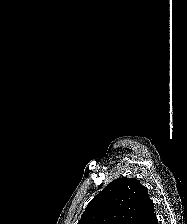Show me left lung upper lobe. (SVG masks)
<instances>
[{
  "label": "left lung upper lobe",
  "instance_id": "left-lung-upper-lobe-1",
  "mask_svg": "<svg viewBox=\"0 0 187 224\" xmlns=\"http://www.w3.org/2000/svg\"><path fill=\"white\" fill-rule=\"evenodd\" d=\"M154 203L135 178H117L96 195L78 224H153Z\"/></svg>",
  "mask_w": 187,
  "mask_h": 224
}]
</instances>
